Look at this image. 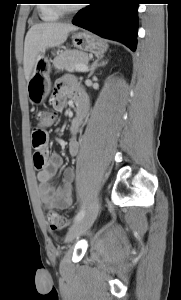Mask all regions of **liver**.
Returning <instances> with one entry per match:
<instances>
[{"label": "liver", "instance_id": "obj_1", "mask_svg": "<svg viewBox=\"0 0 181 300\" xmlns=\"http://www.w3.org/2000/svg\"><path fill=\"white\" fill-rule=\"evenodd\" d=\"M78 27L66 23H39L33 25L25 37L24 73L29 82L36 68L38 59L46 49L62 45L72 31Z\"/></svg>", "mask_w": 181, "mask_h": 300}]
</instances>
